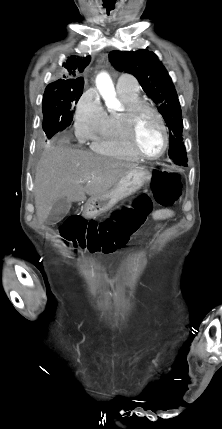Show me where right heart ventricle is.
I'll use <instances>...</instances> for the list:
<instances>
[{"instance_id": "1", "label": "right heart ventricle", "mask_w": 222, "mask_h": 429, "mask_svg": "<svg viewBox=\"0 0 222 429\" xmlns=\"http://www.w3.org/2000/svg\"><path fill=\"white\" fill-rule=\"evenodd\" d=\"M118 95L124 106L141 101L138 91H120ZM92 149L100 154L137 161L139 157L130 149L127 139L122 112H109L103 128L93 139Z\"/></svg>"}]
</instances>
